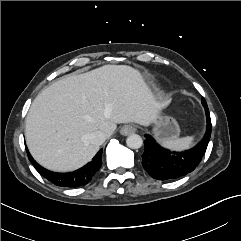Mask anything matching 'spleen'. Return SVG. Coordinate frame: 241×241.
Listing matches in <instances>:
<instances>
[{"label": "spleen", "instance_id": "spleen-1", "mask_svg": "<svg viewBox=\"0 0 241 241\" xmlns=\"http://www.w3.org/2000/svg\"><path fill=\"white\" fill-rule=\"evenodd\" d=\"M192 141H193V137L187 136L183 138H175V139L163 141L162 145L165 148H168L170 150L182 151V150L188 149Z\"/></svg>", "mask_w": 241, "mask_h": 241}]
</instances>
